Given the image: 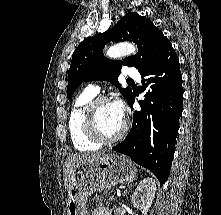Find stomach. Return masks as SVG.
Here are the masks:
<instances>
[{
    "label": "stomach",
    "instance_id": "1",
    "mask_svg": "<svg viewBox=\"0 0 221 215\" xmlns=\"http://www.w3.org/2000/svg\"><path fill=\"white\" fill-rule=\"evenodd\" d=\"M136 174L133 163L116 153L78 164L69 182L67 215H88L86 201L91 194L108 191L118 183L131 182Z\"/></svg>",
    "mask_w": 221,
    "mask_h": 215
}]
</instances>
